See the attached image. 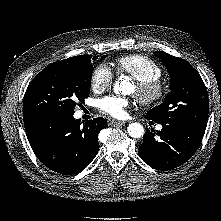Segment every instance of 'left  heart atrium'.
Segmentation results:
<instances>
[{
	"instance_id": "obj_1",
	"label": "left heart atrium",
	"mask_w": 221,
	"mask_h": 221,
	"mask_svg": "<svg viewBox=\"0 0 221 221\" xmlns=\"http://www.w3.org/2000/svg\"><path fill=\"white\" fill-rule=\"evenodd\" d=\"M128 107L129 101L118 96H107L99 101L100 110L114 118H124Z\"/></svg>"
}]
</instances>
